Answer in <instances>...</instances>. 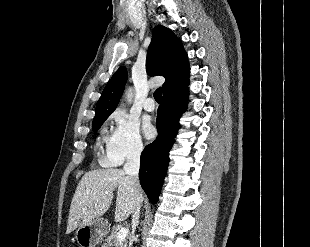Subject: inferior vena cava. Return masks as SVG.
<instances>
[{
	"instance_id": "1",
	"label": "inferior vena cava",
	"mask_w": 310,
	"mask_h": 247,
	"mask_svg": "<svg viewBox=\"0 0 310 247\" xmlns=\"http://www.w3.org/2000/svg\"><path fill=\"white\" fill-rule=\"evenodd\" d=\"M143 146L137 145L135 146L128 154L127 162L124 165V172L129 175L132 179V188L133 190L138 188L140 186L139 184V168H140V155L142 152ZM139 205H137L133 210L132 215V238H134V232L136 230L137 224H138V218H139ZM133 241V239L131 240Z\"/></svg>"
}]
</instances>
